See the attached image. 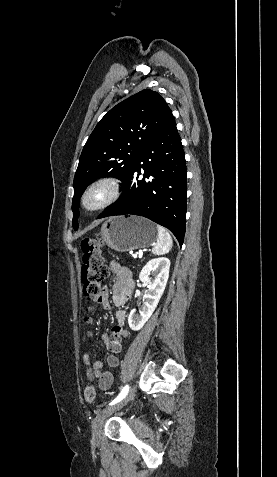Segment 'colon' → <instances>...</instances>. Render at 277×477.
I'll list each match as a JSON object with an SVG mask.
<instances>
[{
    "mask_svg": "<svg viewBox=\"0 0 277 477\" xmlns=\"http://www.w3.org/2000/svg\"><path fill=\"white\" fill-rule=\"evenodd\" d=\"M82 268L81 281L83 294L89 303L99 302L103 292V281L108 276V269L104 265L101 254V242L94 238H84L81 241ZM90 322L89 317L86 318ZM85 400L92 403L96 398V391L93 386L86 387L84 391Z\"/></svg>",
    "mask_w": 277,
    "mask_h": 477,
    "instance_id": "colon-1",
    "label": "colon"
}]
</instances>
